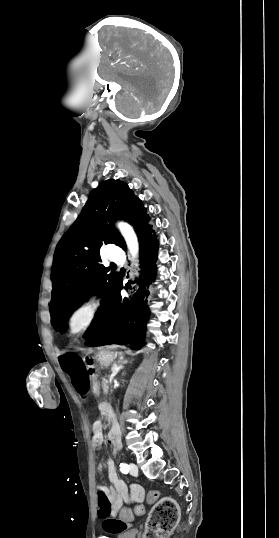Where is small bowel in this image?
Returning <instances> with one entry per match:
<instances>
[{
  "mask_svg": "<svg viewBox=\"0 0 279 538\" xmlns=\"http://www.w3.org/2000/svg\"><path fill=\"white\" fill-rule=\"evenodd\" d=\"M74 391L81 398L89 396L93 390V384L90 376L86 371L75 372L70 376ZM92 441L95 446H101L104 442L103 422L97 420L92 426ZM109 444L114 451L120 448L119 429L117 423L113 421L112 430L109 434ZM105 467L103 462L97 466L98 471H102ZM108 477L111 487L107 489V494L114 511L119 510L124 502L139 503L144 499V489L138 484H132L130 488L121 481L117 475L114 462L107 461ZM104 529L110 533H118L129 527V523L116 518H106L104 521Z\"/></svg>",
  "mask_w": 279,
  "mask_h": 538,
  "instance_id": "obj_1",
  "label": "small bowel"
}]
</instances>
